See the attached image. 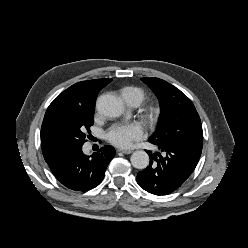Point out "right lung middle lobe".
Here are the masks:
<instances>
[{"label":"right lung middle lobe","mask_w":248,"mask_h":248,"mask_svg":"<svg viewBox=\"0 0 248 248\" xmlns=\"http://www.w3.org/2000/svg\"><path fill=\"white\" fill-rule=\"evenodd\" d=\"M93 107H68L55 113L48 123L52 138L68 148L86 142V132L93 125Z\"/></svg>","instance_id":"obj_1"}]
</instances>
